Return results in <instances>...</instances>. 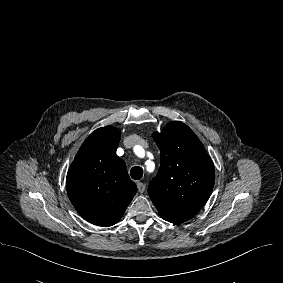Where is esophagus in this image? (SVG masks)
<instances>
[{"mask_svg":"<svg viewBox=\"0 0 283 283\" xmlns=\"http://www.w3.org/2000/svg\"><path fill=\"white\" fill-rule=\"evenodd\" d=\"M137 188H138V191H139L140 193H143V192L145 191L146 186H145L144 183L138 182V183H137Z\"/></svg>","mask_w":283,"mask_h":283,"instance_id":"obj_1","label":"esophagus"}]
</instances>
